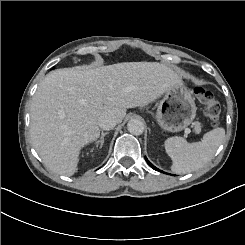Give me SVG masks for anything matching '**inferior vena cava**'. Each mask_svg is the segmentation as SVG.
Segmentation results:
<instances>
[{
    "mask_svg": "<svg viewBox=\"0 0 245 245\" xmlns=\"http://www.w3.org/2000/svg\"><path fill=\"white\" fill-rule=\"evenodd\" d=\"M98 125L103 130H110L116 125L115 117L111 114H103L98 119Z\"/></svg>",
    "mask_w": 245,
    "mask_h": 245,
    "instance_id": "obj_1",
    "label": "inferior vena cava"
}]
</instances>
